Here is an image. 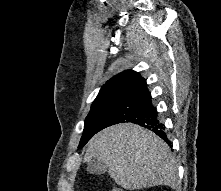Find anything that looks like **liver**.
<instances>
[{
	"label": "liver",
	"mask_w": 221,
	"mask_h": 191,
	"mask_svg": "<svg viewBox=\"0 0 221 191\" xmlns=\"http://www.w3.org/2000/svg\"><path fill=\"white\" fill-rule=\"evenodd\" d=\"M94 158L102 160L110 177L126 190L177 186V166L169 146L152 131L136 124H117L93 136L84 162Z\"/></svg>",
	"instance_id": "liver-1"
}]
</instances>
